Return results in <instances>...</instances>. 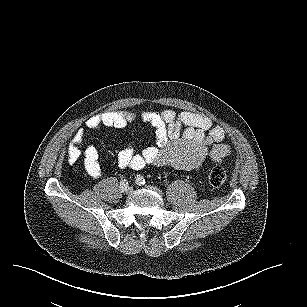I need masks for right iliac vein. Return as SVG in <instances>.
Returning a JSON list of instances; mask_svg holds the SVG:
<instances>
[{"instance_id":"right-iliac-vein-1","label":"right iliac vein","mask_w":307,"mask_h":307,"mask_svg":"<svg viewBox=\"0 0 307 307\" xmlns=\"http://www.w3.org/2000/svg\"><path fill=\"white\" fill-rule=\"evenodd\" d=\"M121 191L123 193L130 194L132 192V189H131V187L127 186V187L121 188Z\"/></svg>"}]
</instances>
